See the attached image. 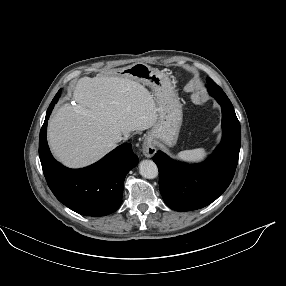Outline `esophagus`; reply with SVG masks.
I'll use <instances>...</instances> for the list:
<instances>
[{
  "label": "esophagus",
  "mask_w": 286,
  "mask_h": 286,
  "mask_svg": "<svg viewBox=\"0 0 286 286\" xmlns=\"http://www.w3.org/2000/svg\"><path fill=\"white\" fill-rule=\"evenodd\" d=\"M142 153L147 158H151L156 153V148L150 138L144 140L142 144Z\"/></svg>",
  "instance_id": "obj_1"
}]
</instances>
